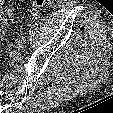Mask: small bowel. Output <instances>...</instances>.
Returning <instances> with one entry per match:
<instances>
[{
    "label": "small bowel",
    "instance_id": "obj_1",
    "mask_svg": "<svg viewBox=\"0 0 113 113\" xmlns=\"http://www.w3.org/2000/svg\"><path fill=\"white\" fill-rule=\"evenodd\" d=\"M11 1H16V0H11ZM5 2L6 0H0V16H1V22H2V25L0 24V38L3 30L2 26L3 27L6 26L8 20L14 21L15 19V15L13 11L11 9L4 7ZM3 18H5L6 20Z\"/></svg>",
    "mask_w": 113,
    "mask_h": 113
}]
</instances>
